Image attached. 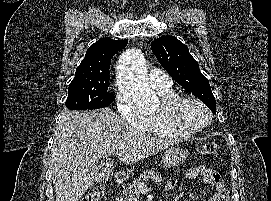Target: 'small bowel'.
I'll return each mask as SVG.
<instances>
[{
	"label": "small bowel",
	"instance_id": "1",
	"mask_svg": "<svg viewBox=\"0 0 271 201\" xmlns=\"http://www.w3.org/2000/svg\"><path fill=\"white\" fill-rule=\"evenodd\" d=\"M186 178L189 180L200 179L204 185L212 188L213 193L208 201H229L227 188L217 171L205 166H197L188 170ZM177 183L176 179L172 180L166 190H173Z\"/></svg>",
	"mask_w": 271,
	"mask_h": 201
}]
</instances>
